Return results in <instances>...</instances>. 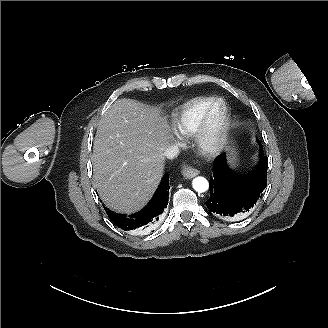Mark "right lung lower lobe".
Returning a JSON list of instances; mask_svg holds the SVG:
<instances>
[{
	"label": "right lung lower lobe",
	"mask_w": 328,
	"mask_h": 328,
	"mask_svg": "<svg viewBox=\"0 0 328 328\" xmlns=\"http://www.w3.org/2000/svg\"><path fill=\"white\" fill-rule=\"evenodd\" d=\"M169 189V176L165 174L151 201L142 210L131 215H125L104 208L110 220L122 230L145 229L150 223L158 221L163 210L167 207Z\"/></svg>",
	"instance_id": "obj_1"
}]
</instances>
